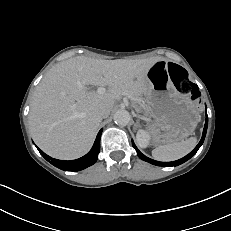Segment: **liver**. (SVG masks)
<instances>
[{
  "label": "liver",
  "mask_w": 231,
  "mask_h": 231,
  "mask_svg": "<svg viewBox=\"0 0 231 231\" xmlns=\"http://www.w3.org/2000/svg\"><path fill=\"white\" fill-rule=\"evenodd\" d=\"M160 57L98 60L77 56L52 67L37 86L29 125L37 146L51 157L72 160L86 154L101 122L97 111H111L123 95H146L148 69ZM85 85L108 86L103 94Z\"/></svg>",
  "instance_id": "1"
}]
</instances>
